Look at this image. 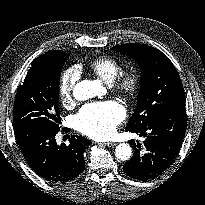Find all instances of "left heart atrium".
Segmentation results:
<instances>
[{
  "mask_svg": "<svg viewBox=\"0 0 205 205\" xmlns=\"http://www.w3.org/2000/svg\"><path fill=\"white\" fill-rule=\"evenodd\" d=\"M124 107L116 101L85 105L76 116V126L82 133L104 139L114 134L125 117Z\"/></svg>",
  "mask_w": 205,
  "mask_h": 205,
  "instance_id": "left-heart-atrium-1",
  "label": "left heart atrium"
}]
</instances>
